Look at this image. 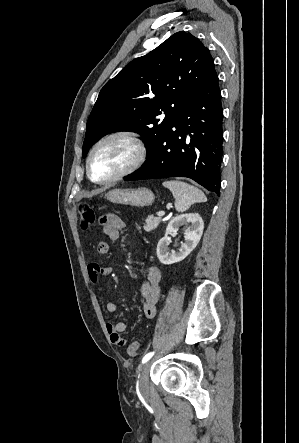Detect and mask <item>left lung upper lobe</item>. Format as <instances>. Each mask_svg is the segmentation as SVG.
Returning a JSON list of instances; mask_svg holds the SVG:
<instances>
[{"instance_id": "1", "label": "left lung upper lobe", "mask_w": 299, "mask_h": 443, "mask_svg": "<svg viewBox=\"0 0 299 443\" xmlns=\"http://www.w3.org/2000/svg\"><path fill=\"white\" fill-rule=\"evenodd\" d=\"M214 70L209 50L184 31L134 59L101 89L87 122L83 157L100 138L116 131L140 134L148 157ZM162 113L164 119L159 118Z\"/></svg>"}]
</instances>
